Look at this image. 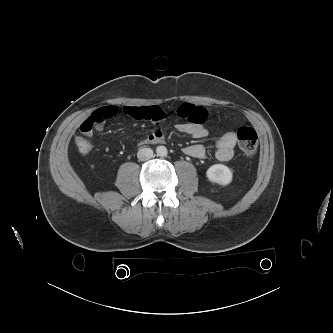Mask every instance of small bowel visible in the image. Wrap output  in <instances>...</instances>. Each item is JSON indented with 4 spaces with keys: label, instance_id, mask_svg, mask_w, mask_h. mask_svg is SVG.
Listing matches in <instances>:
<instances>
[{
    "label": "small bowel",
    "instance_id": "small-bowel-1",
    "mask_svg": "<svg viewBox=\"0 0 333 333\" xmlns=\"http://www.w3.org/2000/svg\"><path fill=\"white\" fill-rule=\"evenodd\" d=\"M178 115L182 122L176 125L178 131L188 134L195 139H202L208 135V130L204 126L207 119V110L192 103H183L178 108ZM122 115L134 119H144L152 121L155 129L146 136L143 144L163 143L165 136L162 125L166 121L165 112L158 106L133 107L107 106L95 110L80 125V131L86 136H91L94 131L102 129L106 121L115 120ZM237 136L234 131H228L221 135L215 143V156L219 161H229L235 153ZM183 152L193 158L201 159L206 154V148L202 144H191L184 147Z\"/></svg>",
    "mask_w": 333,
    "mask_h": 333
}]
</instances>
